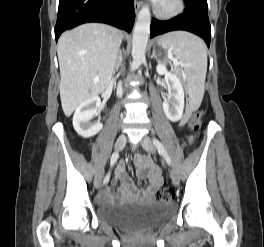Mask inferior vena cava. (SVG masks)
Masks as SVG:
<instances>
[{"mask_svg":"<svg viewBox=\"0 0 264 247\" xmlns=\"http://www.w3.org/2000/svg\"><path fill=\"white\" fill-rule=\"evenodd\" d=\"M117 95H118L119 97L122 96V86H121V84L118 85V88H117Z\"/></svg>","mask_w":264,"mask_h":247,"instance_id":"inferior-vena-cava-1","label":"inferior vena cava"}]
</instances>
